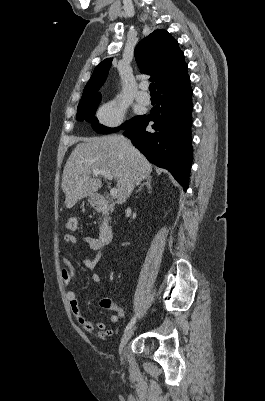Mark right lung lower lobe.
Masks as SVG:
<instances>
[{
	"mask_svg": "<svg viewBox=\"0 0 265 401\" xmlns=\"http://www.w3.org/2000/svg\"><path fill=\"white\" fill-rule=\"evenodd\" d=\"M192 89L189 81L158 93L157 105L124 133L146 158L167 169L186 190L192 162ZM149 122L153 130H146Z\"/></svg>",
	"mask_w": 265,
	"mask_h": 401,
	"instance_id": "1",
	"label": "right lung lower lobe"
}]
</instances>
